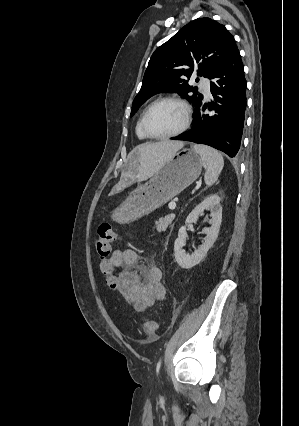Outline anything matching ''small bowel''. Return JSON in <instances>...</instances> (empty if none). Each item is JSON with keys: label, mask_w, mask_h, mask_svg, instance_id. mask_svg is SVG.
<instances>
[{"label": "small bowel", "mask_w": 299, "mask_h": 426, "mask_svg": "<svg viewBox=\"0 0 299 426\" xmlns=\"http://www.w3.org/2000/svg\"><path fill=\"white\" fill-rule=\"evenodd\" d=\"M109 262L117 270V290L136 310L144 311L165 297L160 269L152 262L140 263L135 250H114Z\"/></svg>", "instance_id": "1"}]
</instances>
